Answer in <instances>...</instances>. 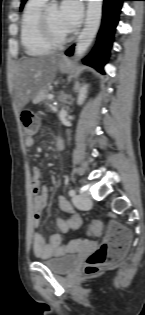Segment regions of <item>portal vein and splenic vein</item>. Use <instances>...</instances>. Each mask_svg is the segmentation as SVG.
<instances>
[{"label": "portal vein and splenic vein", "mask_w": 145, "mask_h": 315, "mask_svg": "<svg viewBox=\"0 0 145 315\" xmlns=\"http://www.w3.org/2000/svg\"><path fill=\"white\" fill-rule=\"evenodd\" d=\"M49 100L53 99L54 96L52 94H49L48 97H47Z\"/></svg>", "instance_id": "18ae733b"}]
</instances>
